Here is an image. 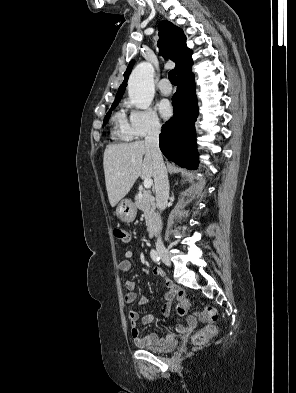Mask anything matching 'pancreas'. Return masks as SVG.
I'll list each match as a JSON object with an SVG mask.
<instances>
[{
	"label": "pancreas",
	"instance_id": "pancreas-1",
	"mask_svg": "<svg viewBox=\"0 0 296 393\" xmlns=\"http://www.w3.org/2000/svg\"><path fill=\"white\" fill-rule=\"evenodd\" d=\"M135 206L143 211L147 229L150 231L157 220L155 200L151 192L147 190L139 191L135 196Z\"/></svg>",
	"mask_w": 296,
	"mask_h": 393
}]
</instances>
